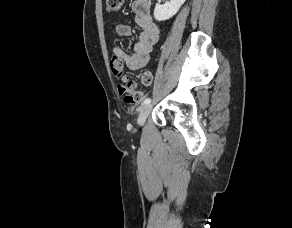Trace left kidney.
Masks as SVG:
<instances>
[{"mask_svg":"<svg viewBox=\"0 0 292 228\" xmlns=\"http://www.w3.org/2000/svg\"><path fill=\"white\" fill-rule=\"evenodd\" d=\"M186 0H170L164 4H156L154 17L158 21H164L173 17Z\"/></svg>","mask_w":292,"mask_h":228,"instance_id":"obj_1","label":"left kidney"}]
</instances>
